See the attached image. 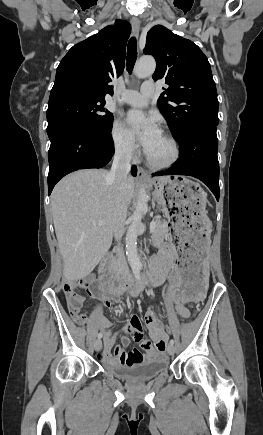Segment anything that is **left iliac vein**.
<instances>
[{
  "label": "left iliac vein",
  "instance_id": "4c4485c4",
  "mask_svg": "<svg viewBox=\"0 0 263 435\" xmlns=\"http://www.w3.org/2000/svg\"><path fill=\"white\" fill-rule=\"evenodd\" d=\"M167 351H168V353L170 354V355H173L174 353H175V347H174V345H169L168 346V348H167Z\"/></svg>",
  "mask_w": 263,
  "mask_h": 435
}]
</instances>
